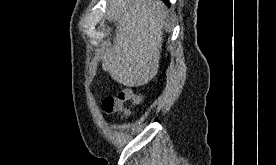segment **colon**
Listing matches in <instances>:
<instances>
[{"instance_id": "colon-1", "label": "colon", "mask_w": 276, "mask_h": 165, "mask_svg": "<svg viewBox=\"0 0 276 165\" xmlns=\"http://www.w3.org/2000/svg\"><path fill=\"white\" fill-rule=\"evenodd\" d=\"M138 104L139 98L131 89H125L117 96L107 97L102 104V109L106 114L126 113L127 104Z\"/></svg>"}]
</instances>
